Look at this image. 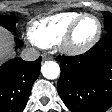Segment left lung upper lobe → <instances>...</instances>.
Here are the masks:
<instances>
[{
	"mask_svg": "<svg viewBox=\"0 0 112 112\" xmlns=\"http://www.w3.org/2000/svg\"><path fill=\"white\" fill-rule=\"evenodd\" d=\"M103 15L105 18L104 27L106 32H112V14L110 12L104 11Z\"/></svg>",
	"mask_w": 112,
	"mask_h": 112,
	"instance_id": "left-lung-upper-lobe-1",
	"label": "left lung upper lobe"
}]
</instances>
